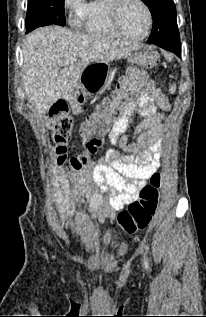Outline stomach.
Instances as JSON below:
<instances>
[{
  "mask_svg": "<svg viewBox=\"0 0 206 317\" xmlns=\"http://www.w3.org/2000/svg\"><path fill=\"white\" fill-rule=\"evenodd\" d=\"M142 57H151L147 51L132 52L127 56L129 63L123 64V69L138 68L139 65H146L141 63ZM107 56H102L101 59H92L78 77V88L80 94V101L84 102L86 94H107L108 91H113L116 88L118 74L115 68L107 65Z\"/></svg>",
  "mask_w": 206,
  "mask_h": 317,
  "instance_id": "stomach-1",
  "label": "stomach"
}]
</instances>
